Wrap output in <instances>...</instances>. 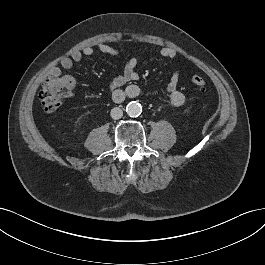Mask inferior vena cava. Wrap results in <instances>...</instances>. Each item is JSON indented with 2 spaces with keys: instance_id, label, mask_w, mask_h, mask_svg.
I'll return each mask as SVG.
<instances>
[{
  "instance_id": "602c4592",
  "label": "inferior vena cava",
  "mask_w": 265,
  "mask_h": 265,
  "mask_svg": "<svg viewBox=\"0 0 265 265\" xmlns=\"http://www.w3.org/2000/svg\"><path fill=\"white\" fill-rule=\"evenodd\" d=\"M111 117L115 120L120 119L123 116V111L119 107H114L111 112Z\"/></svg>"
}]
</instances>
